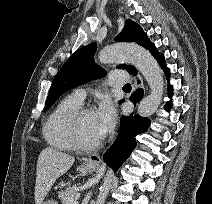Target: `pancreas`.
I'll return each mask as SVG.
<instances>
[{
	"instance_id": "cf45deb5",
	"label": "pancreas",
	"mask_w": 212,
	"mask_h": 204,
	"mask_svg": "<svg viewBox=\"0 0 212 204\" xmlns=\"http://www.w3.org/2000/svg\"><path fill=\"white\" fill-rule=\"evenodd\" d=\"M78 196V188L76 186L69 187L64 191L58 192V198L61 200L62 204H66L68 199L76 198Z\"/></svg>"
}]
</instances>
